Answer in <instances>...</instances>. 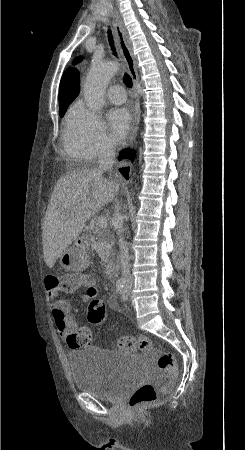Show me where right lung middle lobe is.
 <instances>
[{
    "label": "right lung middle lobe",
    "instance_id": "1",
    "mask_svg": "<svg viewBox=\"0 0 245 450\" xmlns=\"http://www.w3.org/2000/svg\"><path fill=\"white\" fill-rule=\"evenodd\" d=\"M67 107H68V106H66V107L60 109V116H61V117H62L63 114L65 113Z\"/></svg>",
    "mask_w": 245,
    "mask_h": 450
}]
</instances>
